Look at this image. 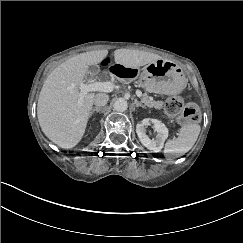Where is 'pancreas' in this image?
Instances as JSON below:
<instances>
[{"mask_svg":"<svg viewBox=\"0 0 243 243\" xmlns=\"http://www.w3.org/2000/svg\"><path fill=\"white\" fill-rule=\"evenodd\" d=\"M141 101L148 107L152 108H156V109H161L163 107V102L162 101H154L152 99H150V97L148 96L147 93H143L142 97H141Z\"/></svg>","mask_w":243,"mask_h":243,"instance_id":"cf45deb5","label":"pancreas"}]
</instances>
